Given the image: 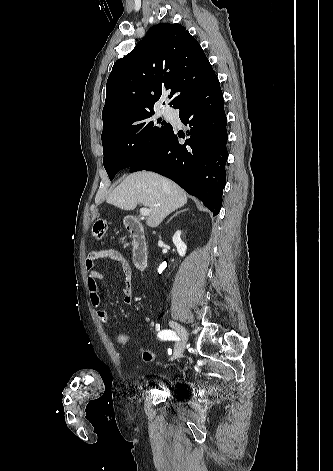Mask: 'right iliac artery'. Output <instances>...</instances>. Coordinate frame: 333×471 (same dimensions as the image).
I'll use <instances>...</instances> for the list:
<instances>
[{"label":"right iliac artery","instance_id":"right-iliac-artery-1","mask_svg":"<svg viewBox=\"0 0 333 471\" xmlns=\"http://www.w3.org/2000/svg\"><path fill=\"white\" fill-rule=\"evenodd\" d=\"M158 337L161 340H172V341L180 340L179 337L176 335V333L169 329L160 331L158 333Z\"/></svg>","mask_w":333,"mask_h":471}]
</instances>
